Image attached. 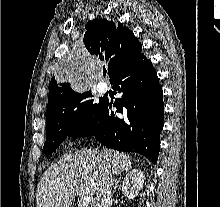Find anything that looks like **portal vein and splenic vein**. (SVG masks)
<instances>
[{"instance_id": "18ae733b", "label": "portal vein and splenic vein", "mask_w": 220, "mask_h": 207, "mask_svg": "<svg viewBox=\"0 0 220 207\" xmlns=\"http://www.w3.org/2000/svg\"><path fill=\"white\" fill-rule=\"evenodd\" d=\"M83 207H88L91 204V197L86 195L81 198Z\"/></svg>"}]
</instances>
